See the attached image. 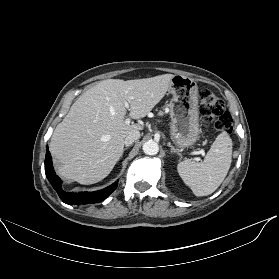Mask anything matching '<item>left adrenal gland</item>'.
I'll return each mask as SVG.
<instances>
[{
	"label": "left adrenal gland",
	"instance_id": "left-adrenal-gland-1",
	"mask_svg": "<svg viewBox=\"0 0 279 279\" xmlns=\"http://www.w3.org/2000/svg\"><path fill=\"white\" fill-rule=\"evenodd\" d=\"M167 146H169L171 148V154L175 153L179 156H182L181 153H179L172 145L171 143H168Z\"/></svg>",
	"mask_w": 279,
	"mask_h": 279
}]
</instances>
